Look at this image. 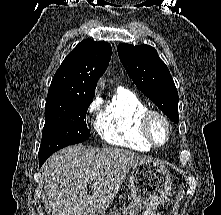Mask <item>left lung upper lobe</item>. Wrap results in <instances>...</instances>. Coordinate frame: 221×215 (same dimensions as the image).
Masks as SVG:
<instances>
[{
  "label": "left lung upper lobe",
  "mask_w": 221,
  "mask_h": 215,
  "mask_svg": "<svg viewBox=\"0 0 221 215\" xmlns=\"http://www.w3.org/2000/svg\"><path fill=\"white\" fill-rule=\"evenodd\" d=\"M120 61L137 88L151 99L169 119L178 123V92L166 64L149 45L117 46Z\"/></svg>",
  "instance_id": "5c2ea615"
}]
</instances>
